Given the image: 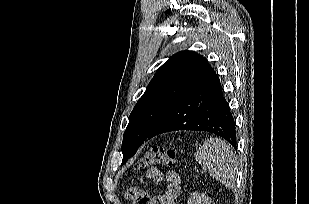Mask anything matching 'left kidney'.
Masks as SVG:
<instances>
[{
  "instance_id": "left-kidney-1",
  "label": "left kidney",
  "mask_w": 309,
  "mask_h": 204,
  "mask_svg": "<svg viewBox=\"0 0 309 204\" xmlns=\"http://www.w3.org/2000/svg\"><path fill=\"white\" fill-rule=\"evenodd\" d=\"M188 204H214V203L204 193L200 194L198 192H195L189 197Z\"/></svg>"
}]
</instances>
